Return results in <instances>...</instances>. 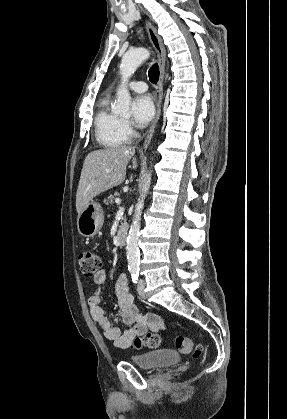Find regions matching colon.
<instances>
[{
  "instance_id": "colon-1",
  "label": "colon",
  "mask_w": 287,
  "mask_h": 419,
  "mask_svg": "<svg viewBox=\"0 0 287 419\" xmlns=\"http://www.w3.org/2000/svg\"><path fill=\"white\" fill-rule=\"evenodd\" d=\"M78 261L83 275L90 277L95 275L101 268V260L97 254L90 250H83L79 253ZM161 339L157 334L147 333L136 337L130 344V348L139 350L143 347L156 349L160 346ZM175 345L181 353H192L193 357H198L202 353V346L193 344L192 340L183 335L175 338Z\"/></svg>"
}]
</instances>
